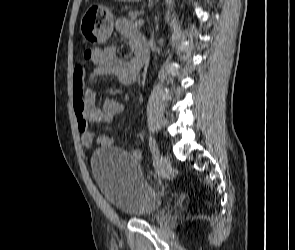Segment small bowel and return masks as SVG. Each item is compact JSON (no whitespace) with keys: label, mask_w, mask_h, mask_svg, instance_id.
Wrapping results in <instances>:
<instances>
[{"label":"small bowel","mask_w":295,"mask_h":250,"mask_svg":"<svg viewBox=\"0 0 295 250\" xmlns=\"http://www.w3.org/2000/svg\"><path fill=\"white\" fill-rule=\"evenodd\" d=\"M117 31L125 38L129 39L131 47L137 52L143 49V38L134 32L131 24L125 20H118ZM91 61L95 68L86 80L85 67L79 63L74 68L73 73V107L77 118L78 130L81 133L82 144L86 148H93L96 145L110 146L113 142L108 135H95L89 127L90 123H109L113 118L123 111V104L117 100L106 98L102 106L95 105V96L88 87V82L99 77H116L124 85H132L137 81L140 68L136 63V56L130 61L121 60L117 56L115 46H108L104 49H92ZM133 157L140 158L137 151L133 152Z\"/></svg>","instance_id":"obj_1"}]
</instances>
